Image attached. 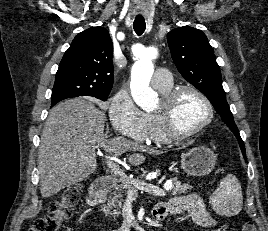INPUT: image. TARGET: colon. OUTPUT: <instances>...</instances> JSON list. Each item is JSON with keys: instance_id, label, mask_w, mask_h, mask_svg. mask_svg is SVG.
<instances>
[{"instance_id": "1", "label": "colon", "mask_w": 268, "mask_h": 231, "mask_svg": "<svg viewBox=\"0 0 268 231\" xmlns=\"http://www.w3.org/2000/svg\"><path fill=\"white\" fill-rule=\"evenodd\" d=\"M79 199V186L67 188L58 200L49 204L48 213L35 220L30 231H58L62 223L71 216L73 208ZM242 231H257L256 224L252 221H247Z\"/></svg>"}]
</instances>
